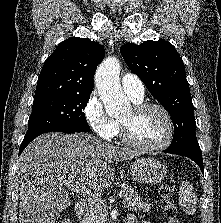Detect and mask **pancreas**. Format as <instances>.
<instances>
[{
	"label": "pancreas",
	"mask_w": 221,
	"mask_h": 223,
	"mask_svg": "<svg viewBox=\"0 0 221 223\" xmlns=\"http://www.w3.org/2000/svg\"><path fill=\"white\" fill-rule=\"evenodd\" d=\"M123 204L130 211H143L148 212L151 209V205L144 203L143 198L132 188L127 185L124 190ZM108 209L105 203L97 205L91 203L88 212L85 214L81 223H107Z\"/></svg>",
	"instance_id": "pancreas-1"
}]
</instances>
